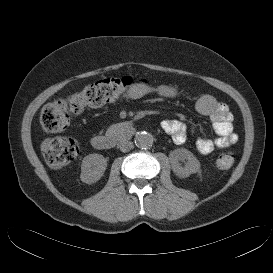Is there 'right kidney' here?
I'll return each mask as SVG.
<instances>
[{
  "label": "right kidney",
  "instance_id": "1",
  "mask_svg": "<svg viewBox=\"0 0 273 273\" xmlns=\"http://www.w3.org/2000/svg\"><path fill=\"white\" fill-rule=\"evenodd\" d=\"M107 167V160L100 154H89L82 160L80 179L92 184L100 180Z\"/></svg>",
  "mask_w": 273,
  "mask_h": 273
}]
</instances>
